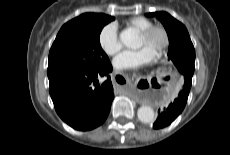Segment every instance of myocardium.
<instances>
[{
    "mask_svg": "<svg viewBox=\"0 0 230 155\" xmlns=\"http://www.w3.org/2000/svg\"><path fill=\"white\" fill-rule=\"evenodd\" d=\"M155 33H160L163 37L162 45L155 54L156 58H160L168 51L171 44V37L167 28L162 25H152L147 29L139 32V35L142 36L144 39H149Z\"/></svg>",
    "mask_w": 230,
    "mask_h": 155,
    "instance_id": "1",
    "label": "myocardium"
}]
</instances>
